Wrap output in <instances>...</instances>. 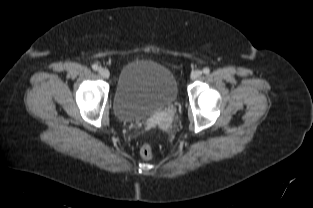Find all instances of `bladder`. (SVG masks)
Masks as SVG:
<instances>
[{
    "instance_id": "obj_1",
    "label": "bladder",
    "mask_w": 313,
    "mask_h": 208,
    "mask_svg": "<svg viewBox=\"0 0 313 208\" xmlns=\"http://www.w3.org/2000/svg\"><path fill=\"white\" fill-rule=\"evenodd\" d=\"M177 96V81L168 68L153 61H132L120 70L114 109L123 121L142 120L174 103Z\"/></svg>"
}]
</instances>
